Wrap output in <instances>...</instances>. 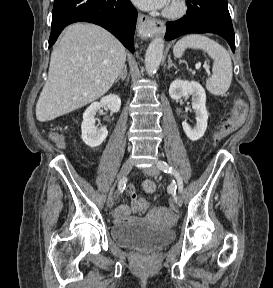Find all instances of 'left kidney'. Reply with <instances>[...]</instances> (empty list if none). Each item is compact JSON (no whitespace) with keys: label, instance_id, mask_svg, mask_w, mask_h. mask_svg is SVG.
<instances>
[{"label":"left kidney","instance_id":"obj_1","mask_svg":"<svg viewBox=\"0 0 273 288\" xmlns=\"http://www.w3.org/2000/svg\"><path fill=\"white\" fill-rule=\"evenodd\" d=\"M169 95L173 100L182 96H192V108L196 113V125L192 128L186 121L182 122L183 130L191 141L201 139L207 129L208 113L206 110V93L204 88L196 81L176 79L169 88Z\"/></svg>","mask_w":273,"mask_h":288}]
</instances>
